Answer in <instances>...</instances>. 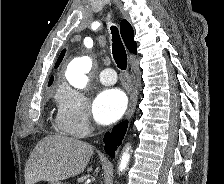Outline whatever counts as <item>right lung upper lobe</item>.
Wrapping results in <instances>:
<instances>
[{
	"instance_id": "obj_1",
	"label": "right lung upper lobe",
	"mask_w": 224,
	"mask_h": 184,
	"mask_svg": "<svg viewBox=\"0 0 224 184\" xmlns=\"http://www.w3.org/2000/svg\"><path fill=\"white\" fill-rule=\"evenodd\" d=\"M120 30H121V36L124 40V43L127 47V49L136 54L137 53V44L134 41V31L132 26L129 24V22L127 20H122L120 22ZM65 54V50H63L57 60V63L55 64V68H57L60 64V62L62 61L63 57ZM54 77L51 76L48 85H51L53 82Z\"/></svg>"
}]
</instances>
